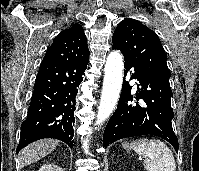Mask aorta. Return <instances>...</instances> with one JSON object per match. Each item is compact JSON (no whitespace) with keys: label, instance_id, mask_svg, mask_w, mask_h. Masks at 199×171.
<instances>
[{"label":"aorta","instance_id":"obj_1","mask_svg":"<svg viewBox=\"0 0 199 171\" xmlns=\"http://www.w3.org/2000/svg\"><path fill=\"white\" fill-rule=\"evenodd\" d=\"M122 79V55L117 51H113L108 55L104 68L103 89L95 125H101L114 110L120 95ZM83 147L87 148V140L83 141Z\"/></svg>","mask_w":199,"mask_h":171}]
</instances>
